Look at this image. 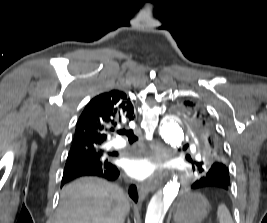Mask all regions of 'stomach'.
Listing matches in <instances>:
<instances>
[{
	"mask_svg": "<svg viewBox=\"0 0 267 223\" xmlns=\"http://www.w3.org/2000/svg\"><path fill=\"white\" fill-rule=\"evenodd\" d=\"M208 200L198 193H187L178 202L174 221L176 223H201L209 212Z\"/></svg>",
	"mask_w": 267,
	"mask_h": 223,
	"instance_id": "1",
	"label": "stomach"
}]
</instances>
